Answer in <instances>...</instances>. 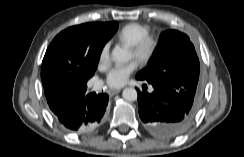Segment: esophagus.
Masks as SVG:
<instances>
[{"label":"esophagus","mask_w":244,"mask_h":157,"mask_svg":"<svg viewBox=\"0 0 244 157\" xmlns=\"http://www.w3.org/2000/svg\"><path fill=\"white\" fill-rule=\"evenodd\" d=\"M120 91H121V88L120 89H112L109 91V94H110V96H114V95L118 94Z\"/></svg>","instance_id":"obj_1"}]
</instances>
